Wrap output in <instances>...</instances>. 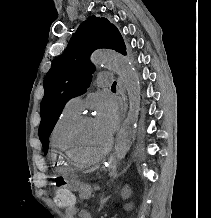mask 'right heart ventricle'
I'll return each instance as SVG.
<instances>
[{
  "label": "right heart ventricle",
  "mask_w": 211,
  "mask_h": 218,
  "mask_svg": "<svg viewBox=\"0 0 211 218\" xmlns=\"http://www.w3.org/2000/svg\"><path fill=\"white\" fill-rule=\"evenodd\" d=\"M79 118V114L67 109L61 111L52 131V153L50 154V162L53 169H79V164H72V160H68L67 134L72 125Z\"/></svg>",
  "instance_id": "1"
}]
</instances>
